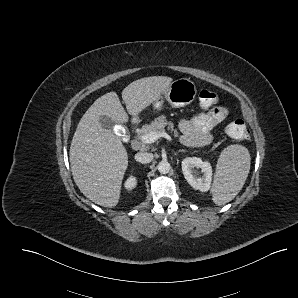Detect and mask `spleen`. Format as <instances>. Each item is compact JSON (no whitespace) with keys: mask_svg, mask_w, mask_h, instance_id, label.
<instances>
[{"mask_svg":"<svg viewBox=\"0 0 298 298\" xmlns=\"http://www.w3.org/2000/svg\"><path fill=\"white\" fill-rule=\"evenodd\" d=\"M250 165V153L242 145H229L221 151L210 190L216 205L230 202L240 192L248 177Z\"/></svg>","mask_w":298,"mask_h":298,"instance_id":"obj_1","label":"spleen"}]
</instances>
